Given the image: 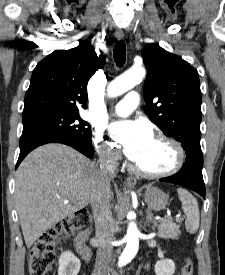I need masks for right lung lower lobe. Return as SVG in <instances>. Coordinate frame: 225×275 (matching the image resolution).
Masks as SVG:
<instances>
[{
	"instance_id": "obj_1",
	"label": "right lung lower lobe",
	"mask_w": 225,
	"mask_h": 275,
	"mask_svg": "<svg viewBox=\"0 0 225 275\" xmlns=\"http://www.w3.org/2000/svg\"><path fill=\"white\" fill-rule=\"evenodd\" d=\"M47 143H62L69 145L87 156L88 158H91L94 154V148L91 142H84L74 138H70L66 135L51 132L31 131L22 133V136L20 138V154L16 164V168L30 151L38 146Z\"/></svg>"
}]
</instances>
